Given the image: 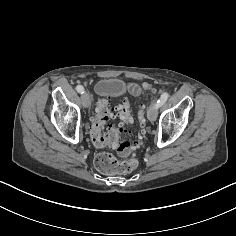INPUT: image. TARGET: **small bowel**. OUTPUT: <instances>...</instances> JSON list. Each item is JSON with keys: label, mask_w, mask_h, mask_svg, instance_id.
<instances>
[{"label": "small bowel", "mask_w": 236, "mask_h": 236, "mask_svg": "<svg viewBox=\"0 0 236 236\" xmlns=\"http://www.w3.org/2000/svg\"><path fill=\"white\" fill-rule=\"evenodd\" d=\"M131 90L135 94H139L140 93L139 90L137 89V87H135V86H131Z\"/></svg>", "instance_id": "obj_1"}]
</instances>
